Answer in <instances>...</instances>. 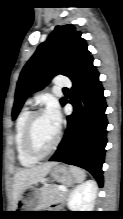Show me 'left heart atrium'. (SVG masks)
Wrapping results in <instances>:
<instances>
[{
	"label": "left heart atrium",
	"mask_w": 123,
	"mask_h": 219,
	"mask_svg": "<svg viewBox=\"0 0 123 219\" xmlns=\"http://www.w3.org/2000/svg\"><path fill=\"white\" fill-rule=\"evenodd\" d=\"M45 112L49 116V118L53 121V123L59 128L61 125L62 118L57 103L51 101L48 104Z\"/></svg>",
	"instance_id": "obj_1"
}]
</instances>
